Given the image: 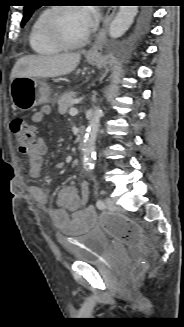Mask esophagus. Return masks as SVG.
Returning <instances> with one entry per match:
<instances>
[{
  "instance_id": "esophagus-1",
  "label": "esophagus",
  "mask_w": 184,
  "mask_h": 327,
  "mask_svg": "<svg viewBox=\"0 0 184 327\" xmlns=\"http://www.w3.org/2000/svg\"><path fill=\"white\" fill-rule=\"evenodd\" d=\"M114 14H115V9L109 8V10L106 13V16L104 18L102 27L96 37V40L87 52L88 56H100L102 54V48H103V44H104V41L106 38L107 29H108V26L114 16Z\"/></svg>"
}]
</instances>
